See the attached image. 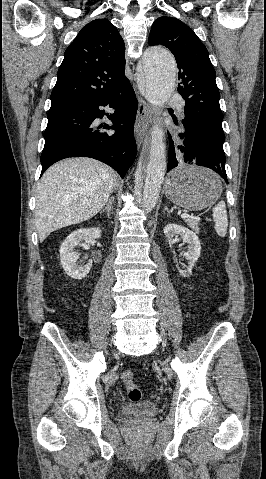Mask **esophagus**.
<instances>
[{"label": "esophagus", "mask_w": 266, "mask_h": 479, "mask_svg": "<svg viewBox=\"0 0 266 479\" xmlns=\"http://www.w3.org/2000/svg\"><path fill=\"white\" fill-rule=\"evenodd\" d=\"M148 117L149 106L143 98L138 96V110L135 122V140L138 148H140L146 135Z\"/></svg>", "instance_id": "1"}]
</instances>
